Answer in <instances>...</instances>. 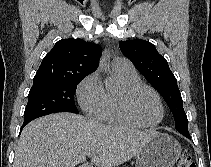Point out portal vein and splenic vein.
<instances>
[{"instance_id": "portal-vein-and-splenic-vein-1", "label": "portal vein and splenic vein", "mask_w": 211, "mask_h": 167, "mask_svg": "<svg viewBox=\"0 0 211 167\" xmlns=\"http://www.w3.org/2000/svg\"><path fill=\"white\" fill-rule=\"evenodd\" d=\"M87 156H88L89 158H92V157H93V154L88 153Z\"/></svg>"}]
</instances>
